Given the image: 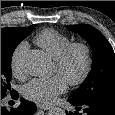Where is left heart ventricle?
<instances>
[{
	"instance_id": "obj_1",
	"label": "left heart ventricle",
	"mask_w": 115,
	"mask_h": 115,
	"mask_svg": "<svg viewBox=\"0 0 115 115\" xmlns=\"http://www.w3.org/2000/svg\"><path fill=\"white\" fill-rule=\"evenodd\" d=\"M84 66V59L83 56L80 52H76L70 62L69 65L67 67V70L65 71V73L63 74H59L56 70V67L54 66V73L58 74L59 76H61L65 81L67 78L69 77H75L78 74H80V72L82 71Z\"/></svg>"
}]
</instances>
